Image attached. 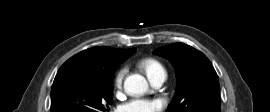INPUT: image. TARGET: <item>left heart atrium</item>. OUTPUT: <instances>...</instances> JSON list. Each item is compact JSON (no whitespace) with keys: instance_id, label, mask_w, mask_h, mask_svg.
I'll return each mask as SVG.
<instances>
[{"instance_id":"obj_1","label":"left heart atrium","mask_w":270,"mask_h":112,"mask_svg":"<svg viewBox=\"0 0 270 112\" xmlns=\"http://www.w3.org/2000/svg\"><path fill=\"white\" fill-rule=\"evenodd\" d=\"M162 107L159 99H134L123 104L120 112H157Z\"/></svg>"}]
</instances>
